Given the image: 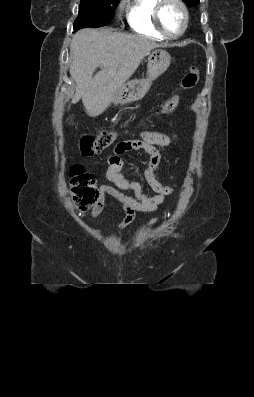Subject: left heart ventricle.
<instances>
[{"label":"left heart ventricle","instance_id":"left-heart-ventricle-1","mask_svg":"<svg viewBox=\"0 0 254 397\" xmlns=\"http://www.w3.org/2000/svg\"><path fill=\"white\" fill-rule=\"evenodd\" d=\"M161 22L169 34H177L183 25V14L181 8L175 3H167L161 12Z\"/></svg>","mask_w":254,"mask_h":397}]
</instances>
